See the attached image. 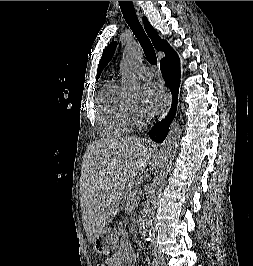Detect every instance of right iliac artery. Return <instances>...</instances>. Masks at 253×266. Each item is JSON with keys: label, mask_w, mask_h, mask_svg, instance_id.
<instances>
[{"label": "right iliac artery", "mask_w": 253, "mask_h": 266, "mask_svg": "<svg viewBox=\"0 0 253 266\" xmlns=\"http://www.w3.org/2000/svg\"><path fill=\"white\" fill-rule=\"evenodd\" d=\"M159 264H158V262L156 261V259H153V261H152V266H158Z\"/></svg>", "instance_id": "right-iliac-artery-1"}]
</instances>
